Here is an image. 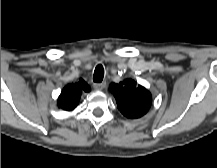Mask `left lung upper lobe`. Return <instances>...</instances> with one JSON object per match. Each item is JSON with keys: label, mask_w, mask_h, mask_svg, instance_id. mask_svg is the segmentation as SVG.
<instances>
[{"label": "left lung upper lobe", "mask_w": 217, "mask_h": 168, "mask_svg": "<svg viewBox=\"0 0 217 168\" xmlns=\"http://www.w3.org/2000/svg\"><path fill=\"white\" fill-rule=\"evenodd\" d=\"M110 91L113 93L118 109L127 118H139L146 114L151 106V94L132 79H126L119 84L112 83Z\"/></svg>", "instance_id": "5c2ea615"}]
</instances>
